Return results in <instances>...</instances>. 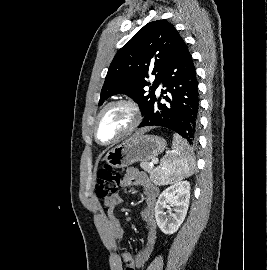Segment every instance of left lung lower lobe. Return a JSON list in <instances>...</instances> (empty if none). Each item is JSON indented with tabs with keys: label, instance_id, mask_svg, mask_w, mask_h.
Listing matches in <instances>:
<instances>
[{
	"label": "left lung lower lobe",
	"instance_id": "obj_1",
	"mask_svg": "<svg viewBox=\"0 0 267 270\" xmlns=\"http://www.w3.org/2000/svg\"><path fill=\"white\" fill-rule=\"evenodd\" d=\"M161 97L154 99L139 127L161 126L182 136L190 145L197 140L199 93L195 67L183 39L162 79ZM163 94H167L163 96ZM166 103H161V98Z\"/></svg>",
	"mask_w": 267,
	"mask_h": 270
}]
</instances>
